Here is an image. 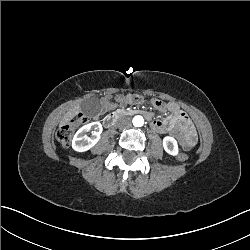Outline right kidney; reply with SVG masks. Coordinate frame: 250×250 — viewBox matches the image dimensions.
Wrapping results in <instances>:
<instances>
[{
    "label": "right kidney",
    "instance_id": "right-kidney-1",
    "mask_svg": "<svg viewBox=\"0 0 250 250\" xmlns=\"http://www.w3.org/2000/svg\"><path fill=\"white\" fill-rule=\"evenodd\" d=\"M102 125L100 122H92L82 126L74 135L72 147L77 151H86L94 146L101 135ZM91 131V136H87V132Z\"/></svg>",
    "mask_w": 250,
    "mask_h": 250
}]
</instances>
